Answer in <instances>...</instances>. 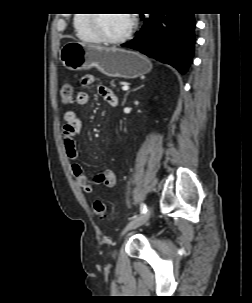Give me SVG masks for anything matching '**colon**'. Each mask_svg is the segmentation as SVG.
<instances>
[{
	"label": "colon",
	"instance_id": "colon-1",
	"mask_svg": "<svg viewBox=\"0 0 252 303\" xmlns=\"http://www.w3.org/2000/svg\"><path fill=\"white\" fill-rule=\"evenodd\" d=\"M61 100L65 104H69L73 100V86L70 82H65L62 84L60 89ZM94 213L100 217L105 218L107 216L106 204L103 200L97 199L93 203Z\"/></svg>",
	"mask_w": 252,
	"mask_h": 303
}]
</instances>
